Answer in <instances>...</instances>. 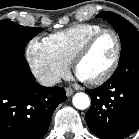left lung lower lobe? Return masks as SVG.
<instances>
[{
  "label": "left lung lower lobe",
  "mask_w": 139,
  "mask_h": 139,
  "mask_svg": "<svg viewBox=\"0 0 139 139\" xmlns=\"http://www.w3.org/2000/svg\"><path fill=\"white\" fill-rule=\"evenodd\" d=\"M86 114L90 130L101 139H124L139 129V50L119 61L115 73L89 90Z\"/></svg>",
  "instance_id": "0a47b994"
}]
</instances>
